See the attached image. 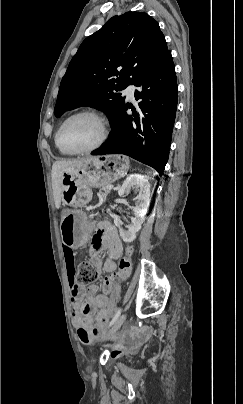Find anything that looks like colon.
<instances>
[{
	"label": "colon",
	"instance_id": "1",
	"mask_svg": "<svg viewBox=\"0 0 243 404\" xmlns=\"http://www.w3.org/2000/svg\"><path fill=\"white\" fill-rule=\"evenodd\" d=\"M130 254L131 249L127 250V254L121 259L119 265V272L115 275L107 276L104 280L103 291L105 294L109 295L112 293L117 280H122L126 278L129 273L130 268ZM98 279V272L94 265L89 261H83L78 265L77 271V281L80 284H90ZM134 343L131 341H124L116 344L117 349H122L125 347H133Z\"/></svg>",
	"mask_w": 243,
	"mask_h": 404
}]
</instances>
